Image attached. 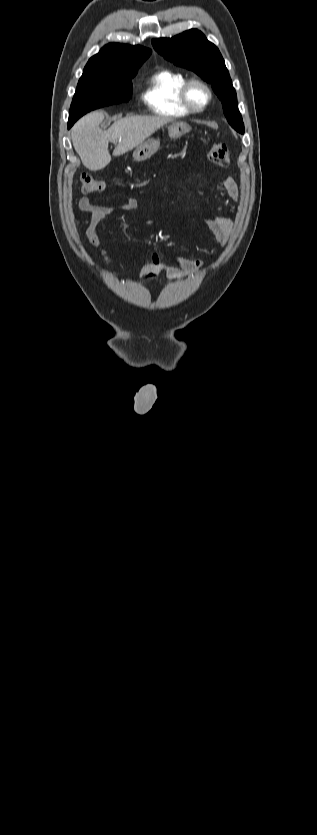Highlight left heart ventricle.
I'll list each match as a JSON object with an SVG mask.
<instances>
[{"instance_id": "left-heart-ventricle-1", "label": "left heart ventricle", "mask_w": 317, "mask_h": 835, "mask_svg": "<svg viewBox=\"0 0 317 835\" xmlns=\"http://www.w3.org/2000/svg\"><path fill=\"white\" fill-rule=\"evenodd\" d=\"M190 98L195 105L201 106L207 99V93L201 86L194 85L190 91Z\"/></svg>"}]
</instances>
